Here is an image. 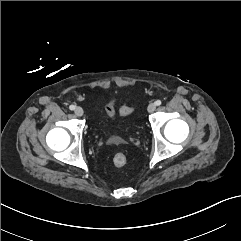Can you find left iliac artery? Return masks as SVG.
<instances>
[{"instance_id":"left-iliac-artery-1","label":"left iliac artery","mask_w":241,"mask_h":241,"mask_svg":"<svg viewBox=\"0 0 241 241\" xmlns=\"http://www.w3.org/2000/svg\"><path fill=\"white\" fill-rule=\"evenodd\" d=\"M155 104H156L157 106L161 105V100H157V101L155 102Z\"/></svg>"}]
</instances>
